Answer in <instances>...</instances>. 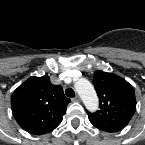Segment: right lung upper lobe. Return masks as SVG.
Returning <instances> with one entry per match:
<instances>
[{
	"mask_svg": "<svg viewBox=\"0 0 145 145\" xmlns=\"http://www.w3.org/2000/svg\"><path fill=\"white\" fill-rule=\"evenodd\" d=\"M69 102L63 88L53 85L47 75L30 77L11 96L14 118L25 131L34 135L55 129L62 122Z\"/></svg>",
	"mask_w": 145,
	"mask_h": 145,
	"instance_id": "1",
	"label": "right lung upper lobe"
}]
</instances>
